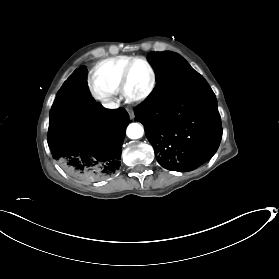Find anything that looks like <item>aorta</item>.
I'll list each match as a JSON object with an SVG mask.
<instances>
[{"mask_svg":"<svg viewBox=\"0 0 279 279\" xmlns=\"http://www.w3.org/2000/svg\"><path fill=\"white\" fill-rule=\"evenodd\" d=\"M144 129L138 123H131L126 129V134L130 139H138L143 136Z\"/></svg>","mask_w":279,"mask_h":279,"instance_id":"aorta-1","label":"aorta"}]
</instances>
